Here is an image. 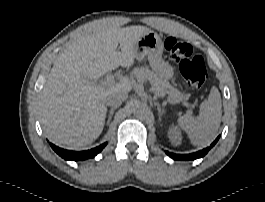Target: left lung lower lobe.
Returning a JSON list of instances; mask_svg holds the SVG:
<instances>
[{
	"label": "left lung lower lobe",
	"mask_w": 265,
	"mask_h": 202,
	"mask_svg": "<svg viewBox=\"0 0 265 202\" xmlns=\"http://www.w3.org/2000/svg\"><path fill=\"white\" fill-rule=\"evenodd\" d=\"M220 136H218L216 138V140L210 145V147H207L203 150H200L198 152L195 153H191V154H174L171 152L166 151V154L173 158L174 160H195L197 158H201L203 156H205L208 151L216 144V142L219 140Z\"/></svg>",
	"instance_id": "1"
}]
</instances>
